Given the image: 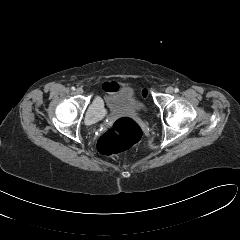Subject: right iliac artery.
<instances>
[{
  "mask_svg": "<svg viewBox=\"0 0 240 240\" xmlns=\"http://www.w3.org/2000/svg\"><path fill=\"white\" fill-rule=\"evenodd\" d=\"M71 89L74 91V90H75V87H72Z\"/></svg>",
  "mask_w": 240,
  "mask_h": 240,
  "instance_id": "1",
  "label": "right iliac artery"
}]
</instances>
